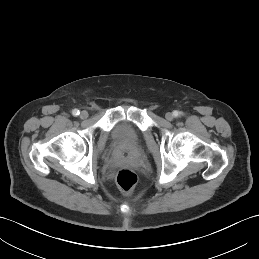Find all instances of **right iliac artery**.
Returning <instances> with one entry per match:
<instances>
[{
	"instance_id": "1",
	"label": "right iliac artery",
	"mask_w": 259,
	"mask_h": 259,
	"mask_svg": "<svg viewBox=\"0 0 259 259\" xmlns=\"http://www.w3.org/2000/svg\"><path fill=\"white\" fill-rule=\"evenodd\" d=\"M72 114H73L74 116H78V115L80 114V112H79L78 109H74V110L72 111Z\"/></svg>"
}]
</instances>
